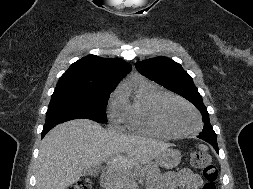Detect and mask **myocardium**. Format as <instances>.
Instances as JSON below:
<instances>
[{
    "instance_id": "obj_1",
    "label": "myocardium",
    "mask_w": 253,
    "mask_h": 189,
    "mask_svg": "<svg viewBox=\"0 0 253 189\" xmlns=\"http://www.w3.org/2000/svg\"><path fill=\"white\" fill-rule=\"evenodd\" d=\"M170 100L178 102L180 104H183L184 106L188 107L194 113L196 120H197V126L194 129L188 130V131H177V130L173 129L164 120L163 115H162V107L165 104V102L170 101ZM151 120H152V123L154 124L155 127L160 129L161 131L165 132L169 136H174V137H184V136L195 134L200 130V128L202 126V120H201V116H200L198 110L188 101H186L178 96H175L173 94H164L155 101V103L153 104L152 109H151Z\"/></svg>"
}]
</instances>
